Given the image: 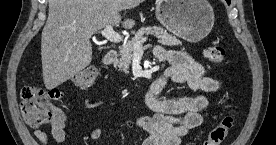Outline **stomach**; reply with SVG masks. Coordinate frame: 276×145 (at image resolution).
<instances>
[{"label":"stomach","mask_w":276,"mask_h":145,"mask_svg":"<svg viewBox=\"0 0 276 145\" xmlns=\"http://www.w3.org/2000/svg\"><path fill=\"white\" fill-rule=\"evenodd\" d=\"M155 13L168 31L193 43L204 39L214 25V12L207 0H159Z\"/></svg>","instance_id":"0dacf381"}]
</instances>
